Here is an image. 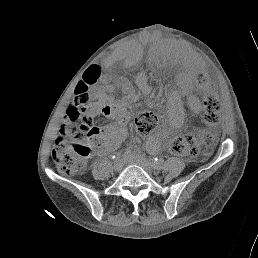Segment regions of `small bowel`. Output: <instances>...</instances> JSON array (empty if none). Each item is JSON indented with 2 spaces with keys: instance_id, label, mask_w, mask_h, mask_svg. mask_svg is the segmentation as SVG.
Segmentation results:
<instances>
[{
  "instance_id": "obj_1",
  "label": "small bowel",
  "mask_w": 258,
  "mask_h": 258,
  "mask_svg": "<svg viewBox=\"0 0 258 258\" xmlns=\"http://www.w3.org/2000/svg\"><path fill=\"white\" fill-rule=\"evenodd\" d=\"M141 56V49L137 45H132L130 51L124 56L123 61L127 65L134 64ZM110 65V64H109ZM196 67H192V73H195ZM91 93L96 97L97 103L86 108L84 118L87 122L98 115H102L114 120L115 112L107 97L104 95V89L97 87L91 90ZM125 129L116 124H109L101 129V144L94 150V155L104 156L115 150L125 137ZM152 150H157L156 140L152 139L149 143Z\"/></svg>"
}]
</instances>
